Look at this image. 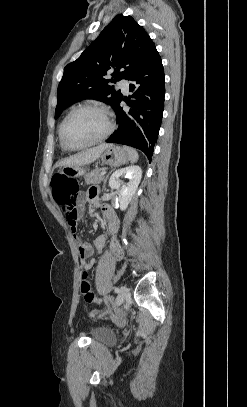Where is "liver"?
<instances>
[{"instance_id":"obj_1","label":"liver","mask_w":247,"mask_h":407,"mask_svg":"<svg viewBox=\"0 0 247 407\" xmlns=\"http://www.w3.org/2000/svg\"><path fill=\"white\" fill-rule=\"evenodd\" d=\"M109 146V144H100L97 147L82 151L71 157L60 161L57 166H84L98 159L101 153Z\"/></svg>"}]
</instances>
